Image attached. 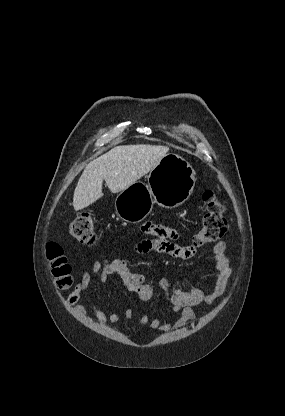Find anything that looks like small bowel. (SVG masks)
Returning a JSON list of instances; mask_svg holds the SVG:
<instances>
[{"label":"small bowel","instance_id":"obj_1","mask_svg":"<svg viewBox=\"0 0 285 416\" xmlns=\"http://www.w3.org/2000/svg\"><path fill=\"white\" fill-rule=\"evenodd\" d=\"M143 232L150 235L151 238L137 243L135 246L137 253L157 252L180 260L191 259L197 253V246L193 243L184 246L177 243L179 233L174 228L149 222L143 226ZM212 252L215 272L213 274L214 286L210 291L205 292L198 287L182 289L162 278L157 283L172 310V317L162 321L159 317L150 319L149 315L144 313L137 325L140 327L148 325L150 329L162 333L179 330L186 323L196 319L194 306L202 303L211 305L220 299L227 288L232 269L226 255L225 242H217ZM92 275H97L101 283H106L111 277H117L125 289L136 294L145 304L155 297V288L147 277L132 272L125 260L95 261L92 265V273L88 271L82 273L66 302L72 305L81 316H86L90 310L102 325L116 324L120 316L115 311L104 312L89 299H84L86 305L79 304L83 299V294L90 287ZM123 315L130 319L133 317V310L125 308Z\"/></svg>","mask_w":285,"mask_h":416}]
</instances>
